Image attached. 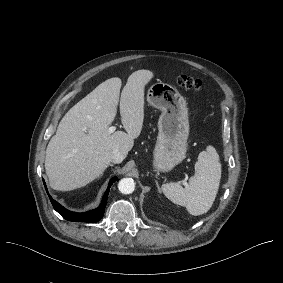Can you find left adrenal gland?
Returning <instances> with one entry per match:
<instances>
[{
	"instance_id": "left-adrenal-gland-1",
	"label": "left adrenal gland",
	"mask_w": 283,
	"mask_h": 283,
	"mask_svg": "<svg viewBox=\"0 0 283 283\" xmlns=\"http://www.w3.org/2000/svg\"><path fill=\"white\" fill-rule=\"evenodd\" d=\"M156 178H157V176H156ZM154 181H155V183L157 184V189H158V191L160 192V191H161V187H160V185H159L158 180L155 179Z\"/></svg>"
}]
</instances>
